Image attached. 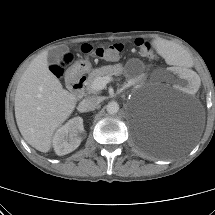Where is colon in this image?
Returning <instances> with one entry per match:
<instances>
[{"label": "colon", "instance_id": "1", "mask_svg": "<svg viewBox=\"0 0 215 215\" xmlns=\"http://www.w3.org/2000/svg\"><path fill=\"white\" fill-rule=\"evenodd\" d=\"M136 44L140 46L142 53L147 57H152L153 52L151 47L148 43L143 42L142 40H137ZM122 50V45L114 44L107 47H93L90 44H84L81 47V51L86 54H93L98 58L105 59V60H114L116 59ZM66 61L68 62L69 59L67 58ZM52 70L55 75L60 76L62 70L59 66H53Z\"/></svg>", "mask_w": 215, "mask_h": 215}]
</instances>
